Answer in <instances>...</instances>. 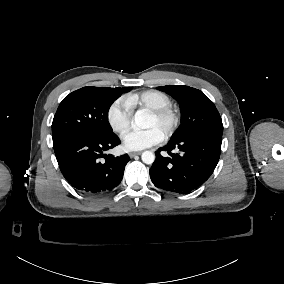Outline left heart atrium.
<instances>
[{
    "mask_svg": "<svg viewBox=\"0 0 284 284\" xmlns=\"http://www.w3.org/2000/svg\"><path fill=\"white\" fill-rule=\"evenodd\" d=\"M162 140V134L155 128L129 129L122 135V146L128 151L142 150L157 145Z\"/></svg>",
    "mask_w": 284,
    "mask_h": 284,
    "instance_id": "left-heart-atrium-1",
    "label": "left heart atrium"
}]
</instances>
